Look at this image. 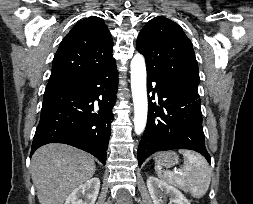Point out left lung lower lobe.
I'll list each match as a JSON object with an SVG mask.
<instances>
[{
  "label": "left lung lower lobe",
  "instance_id": "left-lung-lower-lobe-1",
  "mask_svg": "<svg viewBox=\"0 0 253 204\" xmlns=\"http://www.w3.org/2000/svg\"><path fill=\"white\" fill-rule=\"evenodd\" d=\"M147 77L148 93L153 91L151 82H156L160 106L152 102L154 97H149L148 121L137 153L139 167L151 154L172 149L195 150L210 163L198 90L171 85L151 74Z\"/></svg>",
  "mask_w": 253,
  "mask_h": 204
}]
</instances>
